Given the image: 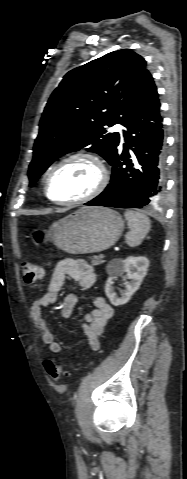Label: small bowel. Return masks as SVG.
<instances>
[{
    "label": "small bowel",
    "mask_w": 187,
    "mask_h": 479,
    "mask_svg": "<svg viewBox=\"0 0 187 479\" xmlns=\"http://www.w3.org/2000/svg\"><path fill=\"white\" fill-rule=\"evenodd\" d=\"M67 278L74 280L82 290H87L93 286L96 275L92 266L82 259H62L56 264L45 292L38 295L30 307L31 317L41 334V339L52 353H59L61 345L49 329L42 309L57 300ZM77 302L76 293H69L65 297L61 307L63 318H71ZM113 314L112 306L103 296L98 295L94 298V309L84 316L81 324L92 351L98 352L99 337Z\"/></svg>",
    "instance_id": "1"
}]
</instances>
